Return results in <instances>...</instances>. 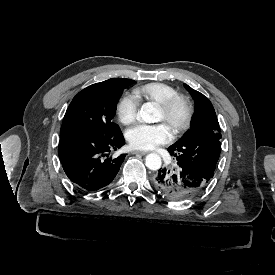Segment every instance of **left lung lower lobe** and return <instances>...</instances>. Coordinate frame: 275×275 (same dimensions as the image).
I'll list each match as a JSON object with an SVG mask.
<instances>
[{
  "instance_id": "left-lung-lower-lobe-1",
  "label": "left lung lower lobe",
  "mask_w": 275,
  "mask_h": 275,
  "mask_svg": "<svg viewBox=\"0 0 275 275\" xmlns=\"http://www.w3.org/2000/svg\"><path fill=\"white\" fill-rule=\"evenodd\" d=\"M208 182L180 164L177 169H160L153 180L155 189L168 200L193 198L205 190Z\"/></svg>"
}]
</instances>
